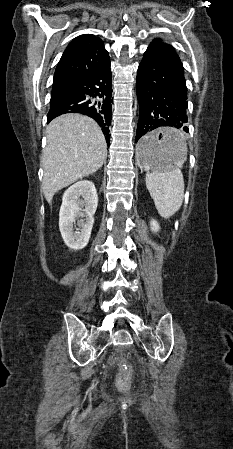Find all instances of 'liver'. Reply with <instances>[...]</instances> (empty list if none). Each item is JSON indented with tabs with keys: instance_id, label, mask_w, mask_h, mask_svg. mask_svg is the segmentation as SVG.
<instances>
[{
	"instance_id": "obj_1",
	"label": "liver",
	"mask_w": 233,
	"mask_h": 449,
	"mask_svg": "<svg viewBox=\"0 0 233 449\" xmlns=\"http://www.w3.org/2000/svg\"><path fill=\"white\" fill-rule=\"evenodd\" d=\"M107 146L99 125L81 114H64L47 126V146L41 158V189L48 203L59 190L95 173L103 165Z\"/></svg>"
}]
</instances>
